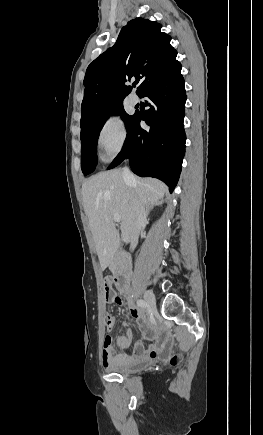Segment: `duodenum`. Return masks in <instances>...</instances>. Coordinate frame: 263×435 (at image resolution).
<instances>
[{
  "label": "duodenum",
  "instance_id": "410a0bca",
  "mask_svg": "<svg viewBox=\"0 0 263 435\" xmlns=\"http://www.w3.org/2000/svg\"><path fill=\"white\" fill-rule=\"evenodd\" d=\"M115 273L117 286L125 294L129 293V261L125 252H118L115 255Z\"/></svg>",
  "mask_w": 263,
  "mask_h": 435
}]
</instances>
